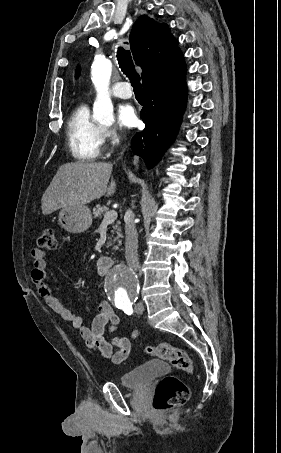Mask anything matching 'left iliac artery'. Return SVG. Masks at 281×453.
Returning <instances> with one entry per match:
<instances>
[{
  "mask_svg": "<svg viewBox=\"0 0 281 453\" xmlns=\"http://www.w3.org/2000/svg\"><path fill=\"white\" fill-rule=\"evenodd\" d=\"M118 309H122L128 315H131L133 313L132 304L119 306Z\"/></svg>",
  "mask_w": 281,
  "mask_h": 453,
  "instance_id": "44dca946",
  "label": "left iliac artery"
}]
</instances>
